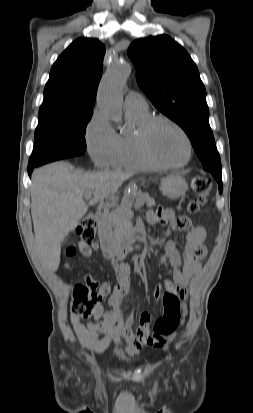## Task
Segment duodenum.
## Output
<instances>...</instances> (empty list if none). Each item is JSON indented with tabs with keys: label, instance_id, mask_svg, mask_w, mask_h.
<instances>
[{
	"label": "duodenum",
	"instance_id": "obj_1",
	"mask_svg": "<svg viewBox=\"0 0 253 413\" xmlns=\"http://www.w3.org/2000/svg\"><path fill=\"white\" fill-rule=\"evenodd\" d=\"M106 206L100 204L97 209V214L99 216V238L102 245L103 252L108 258L115 260L123 259L128 253L138 249L135 246H118L114 244L109 237V231L106 223L102 220V215Z\"/></svg>",
	"mask_w": 253,
	"mask_h": 413
}]
</instances>
